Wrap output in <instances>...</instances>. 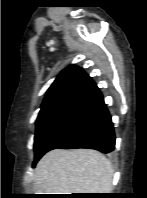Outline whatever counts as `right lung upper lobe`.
I'll list each match as a JSON object with an SVG mask.
<instances>
[{
  "mask_svg": "<svg viewBox=\"0 0 147 198\" xmlns=\"http://www.w3.org/2000/svg\"><path fill=\"white\" fill-rule=\"evenodd\" d=\"M96 89L97 85L80 67L71 65L50 86L41 109L56 105L75 106Z\"/></svg>",
  "mask_w": 147,
  "mask_h": 198,
  "instance_id": "1",
  "label": "right lung upper lobe"
}]
</instances>
